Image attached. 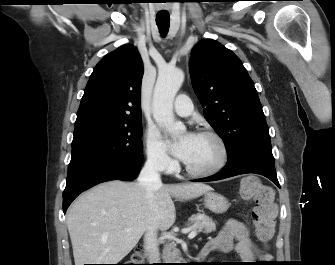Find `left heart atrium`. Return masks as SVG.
<instances>
[{"instance_id": "39dd6f15", "label": "left heart atrium", "mask_w": 335, "mask_h": 265, "mask_svg": "<svg viewBox=\"0 0 335 265\" xmlns=\"http://www.w3.org/2000/svg\"><path fill=\"white\" fill-rule=\"evenodd\" d=\"M195 138L194 134L186 135L181 141L172 144V151L173 153L180 158L181 160L185 161L188 158L190 153V149Z\"/></svg>"}]
</instances>
